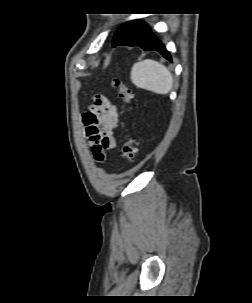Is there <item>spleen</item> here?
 Returning a JSON list of instances; mask_svg holds the SVG:
<instances>
[{"label": "spleen", "mask_w": 252, "mask_h": 303, "mask_svg": "<svg viewBox=\"0 0 252 303\" xmlns=\"http://www.w3.org/2000/svg\"><path fill=\"white\" fill-rule=\"evenodd\" d=\"M130 78L136 87L157 94H167L173 86V77L170 71L164 65L152 59L135 63Z\"/></svg>", "instance_id": "spleen-1"}]
</instances>
